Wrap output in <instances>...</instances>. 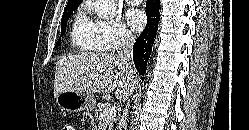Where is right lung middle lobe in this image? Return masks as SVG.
<instances>
[{
    "label": "right lung middle lobe",
    "mask_w": 249,
    "mask_h": 130,
    "mask_svg": "<svg viewBox=\"0 0 249 130\" xmlns=\"http://www.w3.org/2000/svg\"><path fill=\"white\" fill-rule=\"evenodd\" d=\"M78 6L79 4H70L66 6L64 13L62 15V20H61V35H64L66 26H67V20L70 18L71 14ZM60 41H61V37L57 41L55 47L60 46Z\"/></svg>",
    "instance_id": "right-lung-middle-lobe-1"
}]
</instances>
